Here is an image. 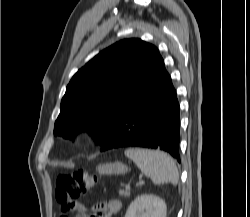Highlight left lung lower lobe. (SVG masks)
<instances>
[{"label": "left lung lower lobe", "instance_id": "obj_1", "mask_svg": "<svg viewBox=\"0 0 250 217\" xmlns=\"http://www.w3.org/2000/svg\"><path fill=\"white\" fill-rule=\"evenodd\" d=\"M176 91L159 55L118 115L102 151L119 147L161 149L180 162Z\"/></svg>", "mask_w": 250, "mask_h": 217}]
</instances>
